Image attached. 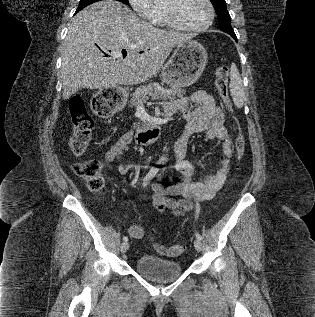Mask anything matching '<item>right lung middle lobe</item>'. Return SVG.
<instances>
[{
    "label": "right lung middle lobe",
    "mask_w": 315,
    "mask_h": 317,
    "mask_svg": "<svg viewBox=\"0 0 315 317\" xmlns=\"http://www.w3.org/2000/svg\"><path fill=\"white\" fill-rule=\"evenodd\" d=\"M97 1H101V0H80L79 6L77 8V12L82 10L86 6H88V5L92 4V3H95ZM116 1H120V2H122L124 4H129L128 0H116Z\"/></svg>",
    "instance_id": "right-lung-middle-lobe-1"
}]
</instances>
